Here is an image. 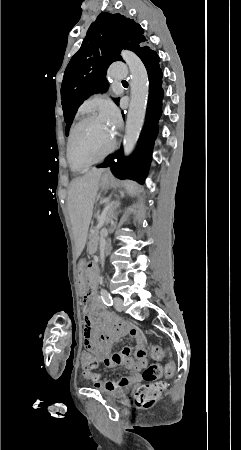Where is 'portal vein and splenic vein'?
Here are the masks:
<instances>
[{
    "mask_svg": "<svg viewBox=\"0 0 241 450\" xmlns=\"http://www.w3.org/2000/svg\"><path fill=\"white\" fill-rule=\"evenodd\" d=\"M112 208H113L112 204H107L106 208H104L103 211H102V216H109V211H112V210H109V209H112ZM104 222H105V217H100V221L97 222V225H98L96 227L97 231L101 230L100 226H103Z\"/></svg>",
    "mask_w": 241,
    "mask_h": 450,
    "instance_id": "obj_1",
    "label": "portal vein and splenic vein"
}]
</instances>
